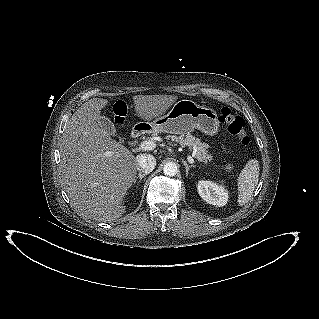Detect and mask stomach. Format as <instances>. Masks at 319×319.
<instances>
[{
	"instance_id": "0dacf381",
	"label": "stomach",
	"mask_w": 319,
	"mask_h": 319,
	"mask_svg": "<svg viewBox=\"0 0 319 319\" xmlns=\"http://www.w3.org/2000/svg\"><path fill=\"white\" fill-rule=\"evenodd\" d=\"M143 123L149 125L153 132L175 135H185L198 129L206 135L214 136L220 127L218 115L213 109L185 99L176 102L166 115L151 123Z\"/></svg>"
}]
</instances>
